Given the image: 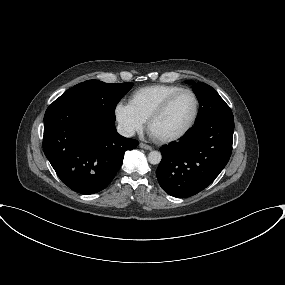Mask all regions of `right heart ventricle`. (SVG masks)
Returning <instances> with one entry per match:
<instances>
[{"label":"right heart ventricle","mask_w":285,"mask_h":285,"mask_svg":"<svg viewBox=\"0 0 285 285\" xmlns=\"http://www.w3.org/2000/svg\"><path fill=\"white\" fill-rule=\"evenodd\" d=\"M182 89L175 85L157 84L135 90L129 98V104L145 122L150 114L171 94Z\"/></svg>","instance_id":"right-heart-ventricle-1"}]
</instances>
